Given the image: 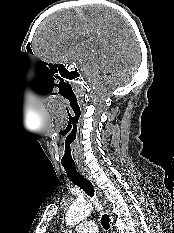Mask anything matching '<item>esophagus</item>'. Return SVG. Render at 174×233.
Returning a JSON list of instances; mask_svg holds the SVG:
<instances>
[{"mask_svg":"<svg viewBox=\"0 0 174 233\" xmlns=\"http://www.w3.org/2000/svg\"><path fill=\"white\" fill-rule=\"evenodd\" d=\"M78 171L80 172V174L82 176H84L85 178H87L94 186L97 194H98V197L103 205V208L104 210L110 215V208H109V205L106 201V199L104 198L102 192L99 190V188L96 186L94 180L92 179V177L89 175V173L87 172V170L85 168H78ZM110 230H111V233H114L113 232V219H112V216L110 215Z\"/></svg>","mask_w":174,"mask_h":233,"instance_id":"esophagus-1","label":"esophagus"}]
</instances>
